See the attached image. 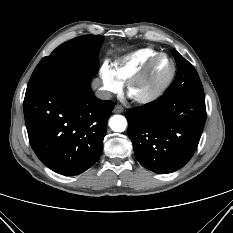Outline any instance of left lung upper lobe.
Returning <instances> with one entry per match:
<instances>
[{
	"mask_svg": "<svg viewBox=\"0 0 233 233\" xmlns=\"http://www.w3.org/2000/svg\"><path fill=\"white\" fill-rule=\"evenodd\" d=\"M177 63V75L164 95H201L204 96L202 83L194 67L176 50H173Z\"/></svg>",
	"mask_w": 233,
	"mask_h": 233,
	"instance_id": "obj_1",
	"label": "left lung upper lobe"
}]
</instances>
